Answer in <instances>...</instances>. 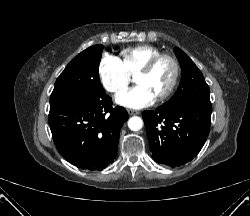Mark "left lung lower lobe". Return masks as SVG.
Masks as SVG:
<instances>
[{
    "label": "left lung lower lobe",
    "mask_w": 250,
    "mask_h": 216,
    "mask_svg": "<svg viewBox=\"0 0 250 216\" xmlns=\"http://www.w3.org/2000/svg\"><path fill=\"white\" fill-rule=\"evenodd\" d=\"M211 112L201 104L143 112L153 159L172 168L191 161L208 137Z\"/></svg>",
    "instance_id": "left-lung-lower-lobe-1"
}]
</instances>
